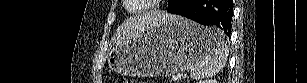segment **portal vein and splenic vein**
Segmentation results:
<instances>
[{
    "instance_id": "obj_1",
    "label": "portal vein and splenic vein",
    "mask_w": 307,
    "mask_h": 83,
    "mask_svg": "<svg viewBox=\"0 0 307 83\" xmlns=\"http://www.w3.org/2000/svg\"><path fill=\"white\" fill-rule=\"evenodd\" d=\"M182 78V75L181 74H177L173 77V80L177 81V80H180Z\"/></svg>"
}]
</instances>
